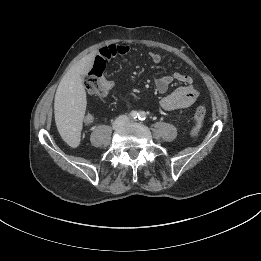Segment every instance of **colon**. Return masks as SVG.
Returning <instances> with one entry per match:
<instances>
[{
    "label": "colon",
    "instance_id": "obj_1",
    "mask_svg": "<svg viewBox=\"0 0 261 261\" xmlns=\"http://www.w3.org/2000/svg\"><path fill=\"white\" fill-rule=\"evenodd\" d=\"M104 69L105 64L96 60L85 80L86 89L92 96H106L110 92L106 79L103 77ZM205 115L206 108L203 105L197 106L194 113V123L189 131L192 137L199 134Z\"/></svg>",
    "mask_w": 261,
    "mask_h": 261
}]
</instances>
